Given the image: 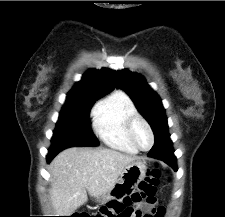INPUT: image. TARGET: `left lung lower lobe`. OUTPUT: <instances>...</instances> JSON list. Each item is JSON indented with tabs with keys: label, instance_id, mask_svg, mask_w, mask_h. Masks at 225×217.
<instances>
[{
	"label": "left lung lower lobe",
	"instance_id": "obj_1",
	"mask_svg": "<svg viewBox=\"0 0 225 217\" xmlns=\"http://www.w3.org/2000/svg\"><path fill=\"white\" fill-rule=\"evenodd\" d=\"M148 156L160 159V160L166 162L167 164H169L174 170H177L176 157L174 156L173 153L165 154L161 151H158L156 153L149 151Z\"/></svg>",
	"mask_w": 225,
	"mask_h": 217
}]
</instances>
